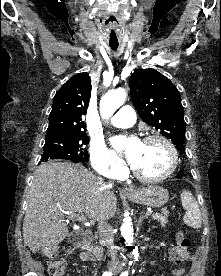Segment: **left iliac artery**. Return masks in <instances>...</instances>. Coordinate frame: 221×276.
Returning <instances> with one entry per match:
<instances>
[{"mask_svg":"<svg viewBox=\"0 0 221 276\" xmlns=\"http://www.w3.org/2000/svg\"><path fill=\"white\" fill-rule=\"evenodd\" d=\"M121 276H128V272H123Z\"/></svg>","mask_w":221,"mask_h":276,"instance_id":"44dca946","label":"left iliac artery"}]
</instances>
